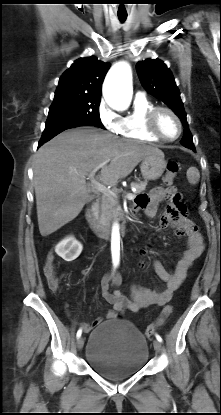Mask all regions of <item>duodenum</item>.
Returning <instances> with one entry per match:
<instances>
[{
    "instance_id": "obj_1",
    "label": "duodenum",
    "mask_w": 221,
    "mask_h": 415,
    "mask_svg": "<svg viewBox=\"0 0 221 415\" xmlns=\"http://www.w3.org/2000/svg\"><path fill=\"white\" fill-rule=\"evenodd\" d=\"M85 217L86 220L90 226V228L93 230V232L100 236H108L111 233L112 227L110 225H106L102 223L96 216L94 211V205L90 204L85 211ZM119 230L122 234L128 233V226L125 221L121 222L119 225Z\"/></svg>"
}]
</instances>
